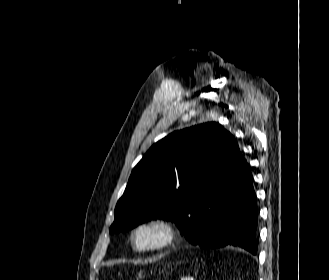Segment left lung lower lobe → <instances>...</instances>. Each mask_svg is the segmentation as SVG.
<instances>
[{"mask_svg":"<svg viewBox=\"0 0 329 280\" xmlns=\"http://www.w3.org/2000/svg\"><path fill=\"white\" fill-rule=\"evenodd\" d=\"M256 195L249 165L240 151L231 161V180L210 194L200 207L198 222L181 226L187 240L203 248L241 247L257 253Z\"/></svg>","mask_w":329,"mask_h":280,"instance_id":"obj_1","label":"left lung lower lobe"}]
</instances>
